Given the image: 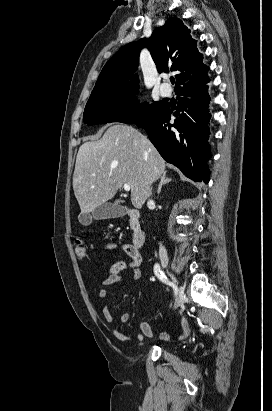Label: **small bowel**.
<instances>
[{
  "label": "small bowel",
  "mask_w": 272,
  "mask_h": 411,
  "mask_svg": "<svg viewBox=\"0 0 272 411\" xmlns=\"http://www.w3.org/2000/svg\"><path fill=\"white\" fill-rule=\"evenodd\" d=\"M117 247L118 245L115 243H110L107 245L108 249H115ZM119 247L129 257V261H119L110 268L109 274L103 280L102 287L100 288L98 292V295L101 299H105L108 296V291H107L108 286L113 285L115 283H119V282L136 281L141 276V271L139 269V266L142 262V257L138 249H136L133 246V244H130V243H123L119 245ZM123 272H129V276L124 277L122 275ZM102 313H103V316L106 322L110 324L114 322L126 323L130 317L129 313L125 311L121 312L118 316H114L111 313L108 305L103 306ZM139 327H140L141 332L133 336L124 334L114 327L111 328V333L119 341H136L139 343L143 342L145 337H154L156 335L153 329L151 328L150 324L145 320L140 321ZM189 332H190L189 326L187 322L184 320L183 321V334L180 336V339L182 340V339L187 338V336L189 335ZM158 337L162 340L168 339V337L163 333L158 334Z\"/></svg>",
  "instance_id": "small-bowel-1"
}]
</instances>
